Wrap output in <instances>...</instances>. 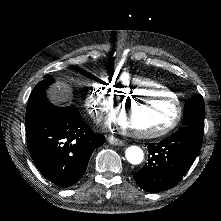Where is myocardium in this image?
Wrapping results in <instances>:
<instances>
[{"mask_svg": "<svg viewBox=\"0 0 221 221\" xmlns=\"http://www.w3.org/2000/svg\"><path fill=\"white\" fill-rule=\"evenodd\" d=\"M151 99L153 101H166L171 104V112L167 116V119H165L163 122H159L157 125L147 127L144 131H139L138 129L131 130L119 124L116 113L120 108H124L126 105L130 104L139 105V103H142L143 101H150ZM108 115L110 116L108 118V122L111 124V127L118 135L132 137L138 136L141 138H144L146 136L150 138H157L162 137V135L166 132H170V128L175 125V123L179 119V107L175 98L171 97L170 95L159 92H153L151 94L150 92L143 91L142 93L130 96L129 98H126L124 100L119 99L113 102Z\"/></svg>", "mask_w": 221, "mask_h": 221, "instance_id": "obj_1", "label": "myocardium"}]
</instances>
